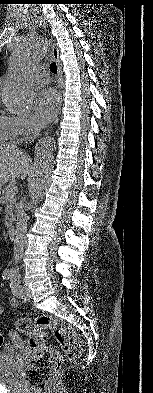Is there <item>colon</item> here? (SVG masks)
<instances>
[{
	"label": "colon",
	"mask_w": 153,
	"mask_h": 393,
	"mask_svg": "<svg viewBox=\"0 0 153 393\" xmlns=\"http://www.w3.org/2000/svg\"><path fill=\"white\" fill-rule=\"evenodd\" d=\"M16 327L19 332L29 337L30 353L23 376L34 393L45 391L47 383L62 363L60 353L55 348L44 345L47 339L45 329L53 330L69 359L77 360L82 355L83 342L72 327L58 318L43 314L38 316L35 325L27 318H19ZM2 344L3 339L0 335V347Z\"/></svg>",
	"instance_id": "colon-1"
}]
</instances>
